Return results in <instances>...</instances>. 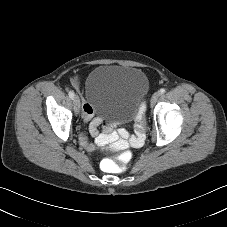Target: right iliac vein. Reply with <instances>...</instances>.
Listing matches in <instances>:
<instances>
[{"label":"right iliac vein","mask_w":227,"mask_h":227,"mask_svg":"<svg viewBox=\"0 0 227 227\" xmlns=\"http://www.w3.org/2000/svg\"><path fill=\"white\" fill-rule=\"evenodd\" d=\"M74 112H75V114L76 115H78L79 114V112H80V99H79V97L78 96H75V98H74Z\"/></svg>","instance_id":"63e3f726"}]
</instances>
